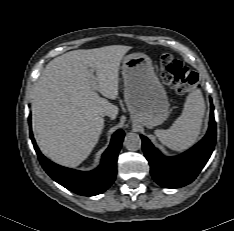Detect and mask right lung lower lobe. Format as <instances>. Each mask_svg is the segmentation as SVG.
Here are the masks:
<instances>
[{"instance_id":"obj_1","label":"right lung lower lobe","mask_w":234,"mask_h":231,"mask_svg":"<svg viewBox=\"0 0 234 231\" xmlns=\"http://www.w3.org/2000/svg\"><path fill=\"white\" fill-rule=\"evenodd\" d=\"M30 137L43 169L68 190L83 196H94L107 190L114 182L118 152L124 138L123 130L120 129L113 134L111 143L102 156L100 166L89 172L65 168L51 162L39 151L31 128Z\"/></svg>"}]
</instances>
